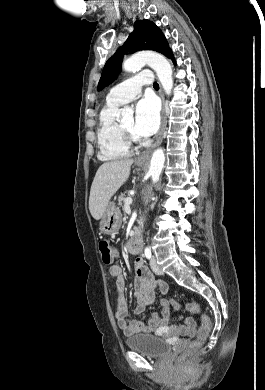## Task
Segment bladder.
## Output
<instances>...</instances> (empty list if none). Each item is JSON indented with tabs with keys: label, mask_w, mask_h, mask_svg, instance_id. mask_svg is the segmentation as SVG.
<instances>
[{
	"label": "bladder",
	"mask_w": 265,
	"mask_h": 390,
	"mask_svg": "<svg viewBox=\"0 0 265 390\" xmlns=\"http://www.w3.org/2000/svg\"><path fill=\"white\" fill-rule=\"evenodd\" d=\"M129 349L146 357L161 358L170 350L171 346L161 337L148 334H138L126 340Z\"/></svg>",
	"instance_id": "1"
}]
</instances>
